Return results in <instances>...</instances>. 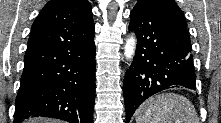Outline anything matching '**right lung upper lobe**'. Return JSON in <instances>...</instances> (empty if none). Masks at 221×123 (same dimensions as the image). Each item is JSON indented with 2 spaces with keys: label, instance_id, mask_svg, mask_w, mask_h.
<instances>
[{
  "label": "right lung upper lobe",
  "instance_id": "obj_1",
  "mask_svg": "<svg viewBox=\"0 0 221 123\" xmlns=\"http://www.w3.org/2000/svg\"><path fill=\"white\" fill-rule=\"evenodd\" d=\"M87 0H51L35 19L27 50L72 43L94 32Z\"/></svg>",
  "mask_w": 221,
  "mask_h": 123
}]
</instances>
